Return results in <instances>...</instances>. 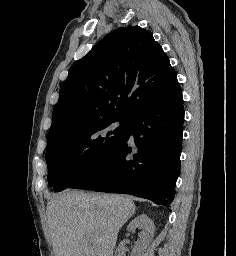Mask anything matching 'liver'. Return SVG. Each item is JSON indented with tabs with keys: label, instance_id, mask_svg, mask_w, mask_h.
Returning a JSON list of instances; mask_svg holds the SVG:
<instances>
[{
	"label": "liver",
	"instance_id": "liver-1",
	"mask_svg": "<svg viewBox=\"0 0 236 256\" xmlns=\"http://www.w3.org/2000/svg\"><path fill=\"white\" fill-rule=\"evenodd\" d=\"M133 214L127 196L61 192L46 206L55 256H113L118 232Z\"/></svg>",
	"mask_w": 236,
	"mask_h": 256
}]
</instances>
